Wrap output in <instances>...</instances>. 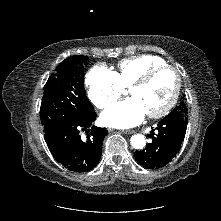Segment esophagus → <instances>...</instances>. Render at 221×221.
Returning <instances> with one entry per match:
<instances>
[{"label":"esophagus","instance_id":"esophagus-1","mask_svg":"<svg viewBox=\"0 0 221 221\" xmlns=\"http://www.w3.org/2000/svg\"><path fill=\"white\" fill-rule=\"evenodd\" d=\"M124 134H133L134 131L133 130H123L122 131Z\"/></svg>","mask_w":221,"mask_h":221}]
</instances>
